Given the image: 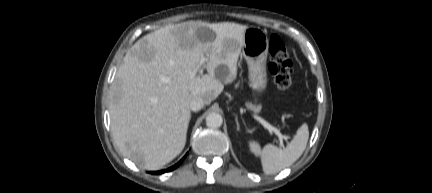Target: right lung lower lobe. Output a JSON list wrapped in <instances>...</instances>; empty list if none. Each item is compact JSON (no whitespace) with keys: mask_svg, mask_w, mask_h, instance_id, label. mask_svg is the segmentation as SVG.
Wrapping results in <instances>:
<instances>
[{"mask_svg":"<svg viewBox=\"0 0 432 193\" xmlns=\"http://www.w3.org/2000/svg\"><path fill=\"white\" fill-rule=\"evenodd\" d=\"M185 157L186 156H184L177 164H175L174 166H172V167H170V168H168L167 170H161V171H155V172H151L152 174H162V173H164V172H168V171H171V170H173V169H175V168H177L182 162H183V160L185 159Z\"/></svg>","mask_w":432,"mask_h":193,"instance_id":"1","label":"right lung lower lobe"}]
</instances>
